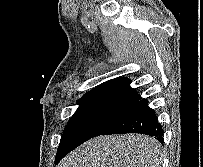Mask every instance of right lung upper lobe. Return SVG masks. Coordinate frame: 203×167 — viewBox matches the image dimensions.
I'll return each mask as SVG.
<instances>
[{
    "instance_id": "obj_1",
    "label": "right lung upper lobe",
    "mask_w": 203,
    "mask_h": 167,
    "mask_svg": "<svg viewBox=\"0 0 203 167\" xmlns=\"http://www.w3.org/2000/svg\"><path fill=\"white\" fill-rule=\"evenodd\" d=\"M140 99L141 96L130 87V79L119 77L100 84L79 101H102L133 107Z\"/></svg>"
}]
</instances>
